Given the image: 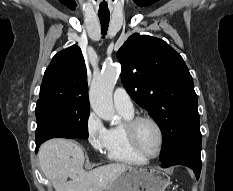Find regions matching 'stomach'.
<instances>
[{"label": "stomach", "instance_id": "1", "mask_svg": "<svg viewBox=\"0 0 233 191\" xmlns=\"http://www.w3.org/2000/svg\"><path fill=\"white\" fill-rule=\"evenodd\" d=\"M170 177L157 168L129 167L101 191H165Z\"/></svg>", "mask_w": 233, "mask_h": 191}]
</instances>
